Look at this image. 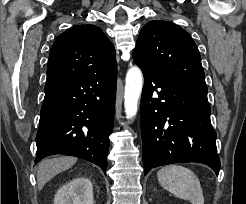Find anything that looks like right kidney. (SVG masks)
Segmentation results:
<instances>
[{
	"label": "right kidney",
	"mask_w": 246,
	"mask_h": 204,
	"mask_svg": "<svg viewBox=\"0 0 246 204\" xmlns=\"http://www.w3.org/2000/svg\"><path fill=\"white\" fill-rule=\"evenodd\" d=\"M54 204H94L91 181L79 177L66 183L56 193Z\"/></svg>",
	"instance_id": "obj_1"
}]
</instances>
